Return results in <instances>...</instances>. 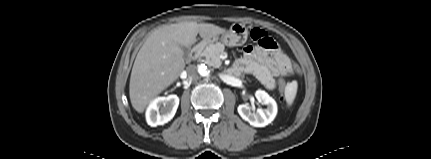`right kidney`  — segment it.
<instances>
[{"label": "right kidney", "instance_id": "1", "mask_svg": "<svg viewBox=\"0 0 431 159\" xmlns=\"http://www.w3.org/2000/svg\"><path fill=\"white\" fill-rule=\"evenodd\" d=\"M178 105L179 98L177 95L154 99L146 111L147 123L152 127L164 125L174 117Z\"/></svg>", "mask_w": 431, "mask_h": 159}]
</instances>
